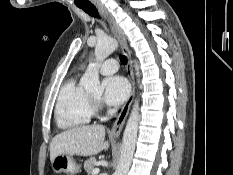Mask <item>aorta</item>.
<instances>
[{
    "label": "aorta",
    "instance_id": "aorta-1",
    "mask_svg": "<svg viewBox=\"0 0 233 175\" xmlns=\"http://www.w3.org/2000/svg\"><path fill=\"white\" fill-rule=\"evenodd\" d=\"M118 42L115 39L108 38L99 40L95 47V57L97 61H103L106 59L116 48ZM135 69L137 76L139 77V66L135 63ZM81 83L87 92L101 91L99 80V67L96 65H89L85 74L81 79ZM139 124V102L135 100L131 114L126 124V128L123 133L121 155L114 175H127L136 145L137 133Z\"/></svg>",
    "mask_w": 233,
    "mask_h": 175
}]
</instances>
